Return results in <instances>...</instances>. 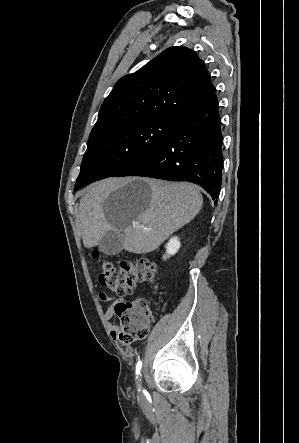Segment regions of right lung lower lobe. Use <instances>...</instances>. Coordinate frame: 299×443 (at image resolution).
<instances>
[{
	"mask_svg": "<svg viewBox=\"0 0 299 443\" xmlns=\"http://www.w3.org/2000/svg\"><path fill=\"white\" fill-rule=\"evenodd\" d=\"M172 134L119 176H144L201 185L215 200L221 188L222 135L215 91L176 118Z\"/></svg>",
	"mask_w": 299,
	"mask_h": 443,
	"instance_id": "right-lung-lower-lobe-1",
	"label": "right lung lower lobe"
}]
</instances>
